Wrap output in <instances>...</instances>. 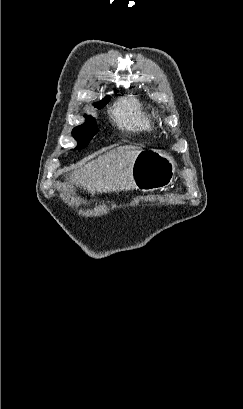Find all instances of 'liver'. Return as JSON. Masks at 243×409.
I'll return each mask as SVG.
<instances>
[{
  "instance_id": "liver-1",
  "label": "liver",
  "mask_w": 243,
  "mask_h": 409,
  "mask_svg": "<svg viewBox=\"0 0 243 409\" xmlns=\"http://www.w3.org/2000/svg\"><path fill=\"white\" fill-rule=\"evenodd\" d=\"M141 150L131 145L110 150L75 169L71 183L92 195L134 189L132 165Z\"/></svg>"
}]
</instances>
